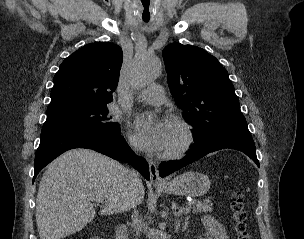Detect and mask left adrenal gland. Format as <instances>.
Returning <instances> with one entry per match:
<instances>
[{
    "mask_svg": "<svg viewBox=\"0 0 304 239\" xmlns=\"http://www.w3.org/2000/svg\"><path fill=\"white\" fill-rule=\"evenodd\" d=\"M188 219H189V216H186L184 225L182 226V232H184L186 230V228L188 227ZM175 227H176L177 231L180 229V220L179 219H177Z\"/></svg>",
    "mask_w": 304,
    "mask_h": 239,
    "instance_id": "1",
    "label": "left adrenal gland"
}]
</instances>
